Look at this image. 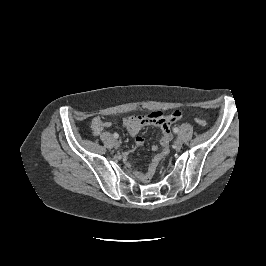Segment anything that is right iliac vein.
I'll return each instance as SVG.
<instances>
[{"mask_svg": "<svg viewBox=\"0 0 266 266\" xmlns=\"http://www.w3.org/2000/svg\"><path fill=\"white\" fill-rule=\"evenodd\" d=\"M114 146H115L116 148L120 147V142H119L118 140H115V141H114Z\"/></svg>", "mask_w": 266, "mask_h": 266, "instance_id": "obj_1", "label": "right iliac vein"}]
</instances>
